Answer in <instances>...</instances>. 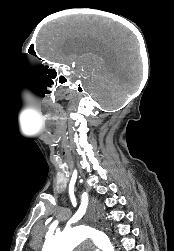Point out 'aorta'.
Segmentation results:
<instances>
[{
  "label": "aorta",
  "instance_id": "1",
  "mask_svg": "<svg viewBox=\"0 0 174 251\" xmlns=\"http://www.w3.org/2000/svg\"><path fill=\"white\" fill-rule=\"evenodd\" d=\"M95 222L90 221L87 225L64 230L55 237L47 240L42 251H72L79 244L91 240L102 251H115L108 236L97 230Z\"/></svg>",
  "mask_w": 174,
  "mask_h": 251
}]
</instances>
